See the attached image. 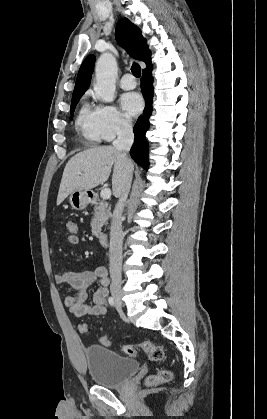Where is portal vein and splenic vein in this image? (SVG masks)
I'll use <instances>...</instances> for the list:
<instances>
[{"label":"portal vein and splenic vein","mask_w":267,"mask_h":419,"mask_svg":"<svg viewBox=\"0 0 267 419\" xmlns=\"http://www.w3.org/2000/svg\"><path fill=\"white\" fill-rule=\"evenodd\" d=\"M100 196L102 199H109L111 197V190L109 188L102 189Z\"/></svg>","instance_id":"18ae733b"}]
</instances>
